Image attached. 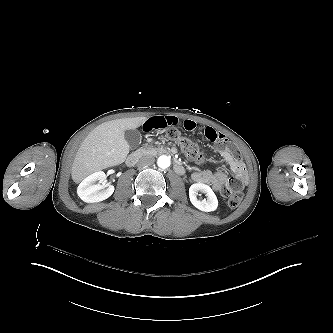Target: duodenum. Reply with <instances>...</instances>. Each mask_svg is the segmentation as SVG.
<instances>
[{
	"label": "duodenum",
	"mask_w": 333,
	"mask_h": 333,
	"mask_svg": "<svg viewBox=\"0 0 333 333\" xmlns=\"http://www.w3.org/2000/svg\"><path fill=\"white\" fill-rule=\"evenodd\" d=\"M143 152L140 150L134 151L130 153L126 158V164L128 166H134L142 156ZM174 169L178 174H182L184 172V167L181 163L176 162L174 165Z\"/></svg>",
	"instance_id": "410a0bca"
}]
</instances>
